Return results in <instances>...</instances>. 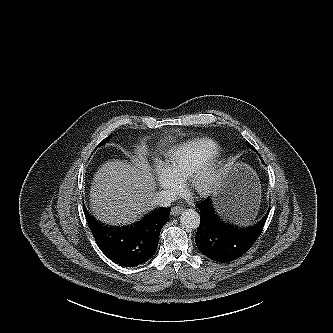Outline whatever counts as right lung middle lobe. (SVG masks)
<instances>
[{
  "label": "right lung middle lobe",
  "instance_id": "obj_1",
  "mask_svg": "<svg viewBox=\"0 0 333 333\" xmlns=\"http://www.w3.org/2000/svg\"><path fill=\"white\" fill-rule=\"evenodd\" d=\"M110 138H111V136L106 137L103 141H101V143L98 146L105 144L106 142H108L110 140Z\"/></svg>",
  "mask_w": 333,
  "mask_h": 333
}]
</instances>
